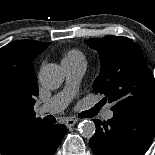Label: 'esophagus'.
<instances>
[{"instance_id": "34e87169", "label": "esophagus", "mask_w": 155, "mask_h": 155, "mask_svg": "<svg viewBox=\"0 0 155 155\" xmlns=\"http://www.w3.org/2000/svg\"><path fill=\"white\" fill-rule=\"evenodd\" d=\"M77 120L73 119V118H69L66 120L65 124L67 127H72L76 124Z\"/></svg>"}]
</instances>
